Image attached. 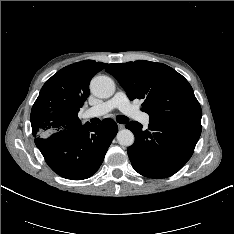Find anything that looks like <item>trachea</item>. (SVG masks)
I'll return each mask as SVG.
<instances>
[{
	"instance_id": "obj_1",
	"label": "trachea",
	"mask_w": 234,
	"mask_h": 234,
	"mask_svg": "<svg viewBox=\"0 0 234 234\" xmlns=\"http://www.w3.org/2000/svg\"><path fill=\"white\" fill-rule=\"evenodd\" d=\"M116 121L118 123L124 124V123H127L129 121V118L126 117V116H123V115H117L116 116Z\"/></svg>"
}]
</instances>
